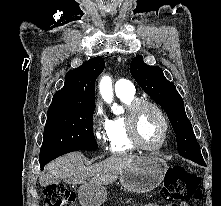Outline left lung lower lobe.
<instances>
[{
    "mask_svg": "<svg viewBox=\"0 0 221 206\" xmlns=\"http://www.w3.org/2000/svg\"><path fill=\"white\" fill-rule=\"evenodd\" d=\"M194 162H196V163H198V164H200V165H205V163H204V160L202 159V160H198V161H194Z\"/></svg>",
    "mask_w": 221,
    "mask_h": 206,
    "instance_id": "obj_1",
    "label": "left lung lower lobe"
}]
</instances>
